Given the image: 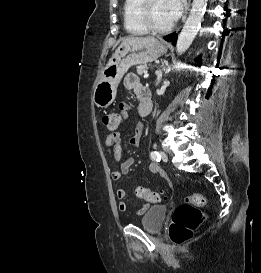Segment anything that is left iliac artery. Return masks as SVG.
I'll list each match as a JSON object with an SVG mask.
<instances>
[{
  "mask_svg": "<svg viewBox=\"0 0 261 273\" xmlns=\"http://www.w3.org/2000/svg\"><path fill=\"white\" fill-rule=\"evenodd\" d=\"M150 155H151V158H152L154 161L159 162L160 159H161V156H160V154H159L157 151H152Z\"/></svg>",
  "mask_w": 261,
  "mask_h": 273,
  "instance_id": "1",
  "label": "left iliac artery"
}]
</instances>
